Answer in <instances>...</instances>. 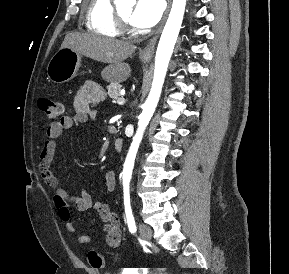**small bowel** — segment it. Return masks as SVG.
I'll use <instances>...</instances> for the list:
<instances>
[{"label": "small bowel", "mask_w": 289, "mask_h": 274, "mask_svg": "<svg viewBox=\"0 0 289 274\" xmlns=\"http://www.w3.org/2000/svg\"><path fill=\"white\" fill-rule=\"evenodd\" d=\"M104 97L103 89L95 82H85L78 90L74 101V114L65 115L59 120L50 123L47 128L46 137L40 154L39 170L44 182L54 191L53 205L58 217L65 223L68 232L75 231V225L71 217L69 204H73L80 212L96 209L103 222L105 239L108 246L117 248L122 239L120 222L117 214L113 211L111 202L94 201L91 194L82 189L79 195L70 194L60 184L58 177L52 170V163L57 149L58 138L67 130H70L75 123H85L95 119V104ZM116 184V175L113 170L105 174V186L108 193H111ZM91 241L89 235L77 237L79 244H87Z\"/></svg>", "instance_id": "1"}]
</instances>
